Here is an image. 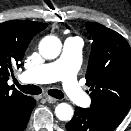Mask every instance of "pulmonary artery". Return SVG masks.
<instances>
[{
  "mask_svg": "<svg viewBox=\"0 0 131 131\" xmlns=\"http://www.w3.org/2000/svg\"><path fill=\"white\" fill-rule=\"evenodd\" d=\"M82 47L80 39H66L59 58L24 71L21 80L27 83H49L60 80L65 94L73 103L80 106L89 105L90 97L83 92L76 79Z\"/></svg>",
  "mask_w": 131,
  "mask_h": 131,
  "instance_id": "e3ab8cb5",
  "label": "pulmonary artery"
}]
</instances>
